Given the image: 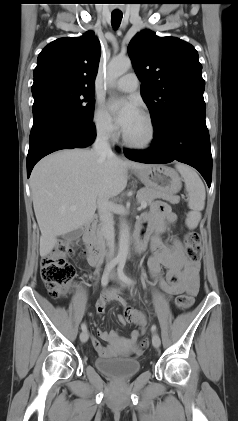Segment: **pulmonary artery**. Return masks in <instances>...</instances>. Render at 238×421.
I'll list each match as a JSON object with an SVG mask.
<instances>
[{
  "instance_id": "e3ab8cb5",
  "label": "pulmonary artery",
  "mask_w": 238,
  "mask_h": 421,
  "mask_svg": "<svg viewBox=\"0 0 238 421\" xmlns=\"http://www.w3.org/2000/svg\"><path fill=\"white\" fill-rule=\"evenodd\" d=\"M138 85L139 80L135 73H127L114 83V87L123 92H133Z\"/></svg>"
}]
</instances>
